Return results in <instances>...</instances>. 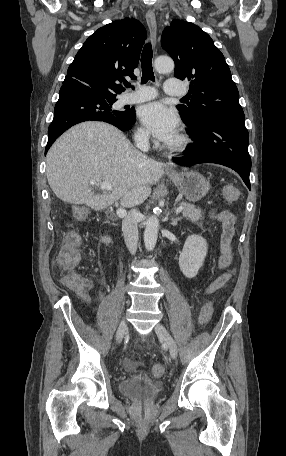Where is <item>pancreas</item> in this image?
<instances>
[{
    "mask_svg": "<svg viewBox=\"0 0 286 456\" xmlns=\"http://www.w3.org/2000/svg\"><path fill=\"white\" fill-rule=\"evenodd\" d=\"M179 206H182L184 209L182 210V215L185 218H189L193 222H197L202 219V210L200 208H196L194 205L182 202Z\"/></svg>",
    "mask_w": 286,
    "mask_h": 456,
    "instance_id": "1",
    "label": "pancreas"
}]
</instances>
